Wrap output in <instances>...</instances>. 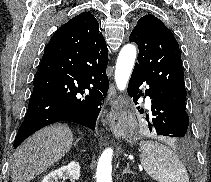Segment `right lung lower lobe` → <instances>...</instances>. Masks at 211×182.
Instances as JSON below:
<instances>
[{
  "instance_id": "1",
  "label": "right lung lower lobe",
  "mask_w": 211,
  "mask_h": 182,
  "mask_svg": "<svg viewBox=\"0 0 211 182\" xmlns=\"http://www.w3.org/2000/svg\"><path fill=\"white\" fill-rule=\"evenodd\" d=\"M107 64L105 41L81 44L54 34L44 51L14 148L54 122L70 121L95 130L109 88Z\"/></svg>"
}]
</instances>
